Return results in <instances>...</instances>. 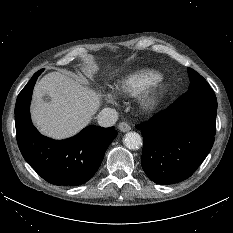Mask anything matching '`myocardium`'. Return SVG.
Wrapping results in <instances>:
<instances>
[{
	"label": "myocardium",
	"mask_w": 233,
	"mask_h": 233,
	"mask_svg": "<svg viewBox=\"0 0 233 233\" xmlns=\"http://www.w3.org/2000/svg\"><path fill=\"white\" fill-rule=\"evenodd\" d=\"M168 95V85L162 80L146 89L139 98V108L144 114H154L163 106Z\"/></svg>",
	"instance_id": "obj_1"
}]
</instances>
